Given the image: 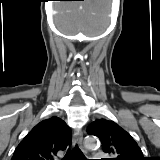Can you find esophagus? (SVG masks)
Here are the masks:
<instances>
[{"label":"esophagus","instance_id":"1","mask_svg":"<svg viewBox=\"0 0 160 160\" xmlns=\"http://www.w3.org/2000/svg\"><path fill=\"white\" fill-rule=\"evenodd\" d=\"M74 143H77L83 152H86L83 147V135L82 132L77 133V135L73 139Z\"/></svg>","mask_w":160,"mask_h":160}]
</instances>
